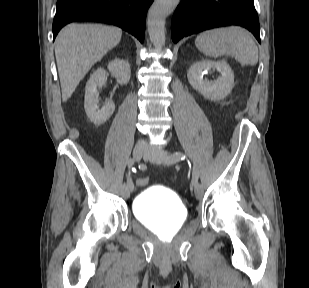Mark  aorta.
I'll use <instances>...</instances> for the list:
<instances>
[{
	"label": "aorta",
	"instance_id": "1",
	"mask_svg": "<svg viewBox=\"0 0 309 288\" xmlns=\"http://www.w3.org/2000/svg\"><path fill=\"white\" fill-rule=\"evenodd\" d=\"M180 0H155L148 12L147 29L150 41L160 49L165 45V20Z\"/></svg>",
	"mask_w": 309,
	"mask_h": 288
}]
</instances>
